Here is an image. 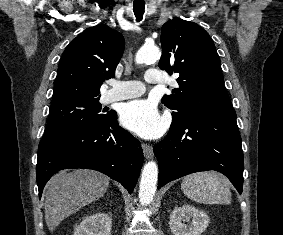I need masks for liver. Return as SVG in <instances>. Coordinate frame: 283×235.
<instances>
[{
    "instance_id": "6515ba94",
    "label": "liver",
    "mask_w": 283,
    "mask_h": 235,
    "mask_svg": "<svg viewBox=\"0 0 283 235\" xmlns=\"http://www.w3.org/2000/svg\"><path fill=\"white\" fill-rule=\"evenodd\" d=\"M110 179L100 172L77 169L51 178L45 194V221L53 232L68 216L103 196Z\"/></svg>"
}]
</instances>
